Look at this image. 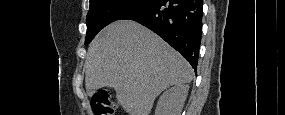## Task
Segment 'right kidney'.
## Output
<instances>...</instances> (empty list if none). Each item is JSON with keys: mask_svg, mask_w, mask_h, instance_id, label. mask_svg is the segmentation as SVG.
I'll return each mask as SVG.
<instances>
[{"mask_svg": "<svg viewBox=\"0 0 285 115\" xmlns=\"http://www.w3.org/2000/svg\"><path fill=\"white\" fill-rule=\"evenodd\" d=\"M188 85H177L166 90L159 98L155 115H180L188 95Z\"/></svg>", "mask_w": 285, "mask_h": 115, "instance_id": "right-kidney-1", "label": "right kidney"}]
</instances>
